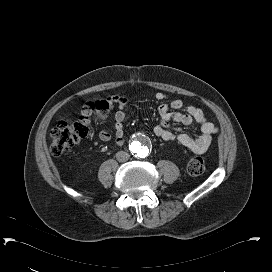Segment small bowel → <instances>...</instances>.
I'll return each mask as SVG.
<instances>
[{
    "label": "small bowel",
    "mask_w": 272,
    "mask_h": 272,
    "mask_svg": "<svg viewBox=\"0 0 272 272\" xmlns=\"http://www.w3.org/2000/svg\"><path fill=\"white\" fill-rule=\"evenodd\" d=\"M167 97L168 95L164 92L156 94V99L159 101H164ZM108 101L110 104H115L118 108L114 115V139L117 145H123L125 142L124 109L128 100L124 95H113L108 98ZM158 110L162 122L153 129V133L157 138L164 141H176L195 154H201L207 150L211 136L216 131V128L213 123L207 120L202 109L193 104L183 106L181 100L174 99L170 103H162ZM194 121L199 125L201 132L198 138L185 133L174 132L172 129L173 123L188 126ZM111 137V132L108 130L100 133V138L103 141H110Z\"/></svg>",
    "instance_id": "1"
}]
</instances>
